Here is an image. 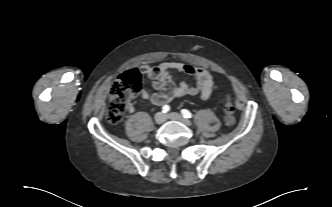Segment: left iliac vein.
Wrapping results in <instances>:
<instances>
[{
  "instance_id": "obj_1",
  "label": "left iliac vein",
  "mask_w": 332,
  "mask_h": 207,
  "mask_svg": "<svg viewBox=\"0 0 332 207\" xmlns=\"http://www.w3.org/2000/svg\"><path fill=\"white\" fill-rule=\"evenodd\" d=\"M167 117L171 120L181 122L182 124H184L186 126L192 125L191 121H189L188 119H185L182 115H180L179 113H176V112L169 113L167 115Z\"/></svg>"
}]
</instances>
